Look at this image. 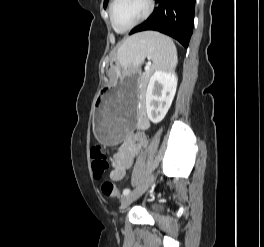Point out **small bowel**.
Wrapping results in <instances>:
<instances>
[{
  "mask_svg": "<svg viewBox=\"0 0 264 247\" xmlns=\"http://www.w3.org/2000/svg\"><path fill=\"white\" fill-rule=\"evenodd\" d=\"M149 120L141 115L136 129L130 132L120 147L113 153L110 159V178L113 181L122 180L126 172L132 167L139 151L146 145L147 140L144 130L149 127Z\"/></svg>",
  "mask_w": 264,
  "mask_h": 247,
  "instance_id": "obj_1",
  "label": "small bowel"
}]
</instances>
